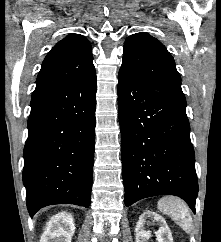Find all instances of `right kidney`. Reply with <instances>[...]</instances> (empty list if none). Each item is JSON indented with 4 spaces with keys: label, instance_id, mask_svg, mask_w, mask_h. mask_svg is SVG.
Here are the masks:
<instances>
[{
    "label": "right kidney",
    "instance_id": "ca27d5eb",
    "mask_svg": "<svg viewBox=\"0 0 221 242\" xmlns=\"http://www.w3.org/2000/svg\"><path fill=\"white\" fill-rule=\"evenodd\" d=\"M75 233V223L70 213L60 212L47 222L44 232L45 242H71Z\"/></svg>",
    "mask_w": 221,
    "mask_h": 242
}]
</instances>
